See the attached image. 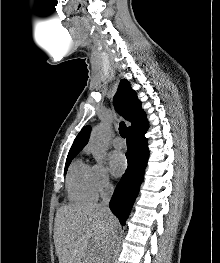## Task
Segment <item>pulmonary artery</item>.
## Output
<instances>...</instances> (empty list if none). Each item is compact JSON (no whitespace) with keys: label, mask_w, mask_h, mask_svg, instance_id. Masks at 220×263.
Masks as SVG:
<instances>
[{"label":"pulmonary artery","mask_w":220,"mask_h":263,"mask_svg":"<svg viewBox=\"0 0 220 263\" xmlns=\"http://www.w3.org/2000/svg\"><path fill=\"white\" fill-rule=\"evenodd\" d=\"M112 144L115 148H122L124 146V142L120 137H115Z\"/></svg>","instance_id":"1"}]
</instances>
